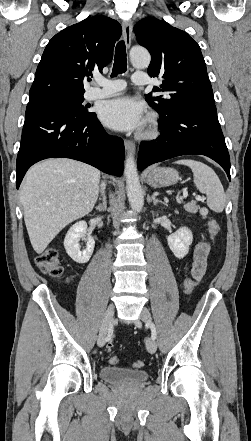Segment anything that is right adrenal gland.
<instances>
[{
  "label": "right adrenal gland",
  "instance_id": "obj_1",
  "mask_svg": "<svg viewBox=\"0 0 251 441\" xmlns=\"http://www.w3.org/2000/svg\"><path fill=\"white\" fill-rule=\"evenodd\" d=\"M95 209L99 212H104L107 209V201L104 193L102 194V203L95 207Z\"/></svg>",
  "mask_w": 251,
  "mask_h": 441
}]
</instances>
